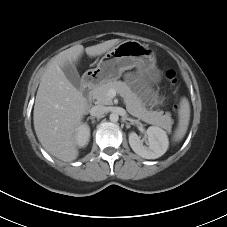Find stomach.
I'll return each instance as SVG.
<instances>
[{"mask_svg": "<svg viewBox=\"0 0 227 227\" xmlns=\"http://www.w3.org/2000/svg\"><path fill=\"white\" fill-rule=\"evenodd\" d=\"M134 67L150 84H156L161 79L155 52L136 40H126L114 46L100 59L96 68L85 72V76L93 83L101 84L117 80L125 70Z\"/></svg>", "mask_w": 227, "mask_h": 227, "instance_id": "obj_1", "label": "stomach"}]
</instances>
